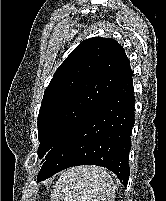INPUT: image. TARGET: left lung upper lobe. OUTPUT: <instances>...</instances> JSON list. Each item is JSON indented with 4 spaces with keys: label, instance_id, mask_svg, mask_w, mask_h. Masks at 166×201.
Returning <instances> with one entry per match:
<instances>
[{
    "label": "left lung upper lobe",
    "instance_id": "left-lung-upper-lobe-1",
    "mask_svg": "<svg viewBox=\"0 0 166 201\" xmlns=\"http://www.w3.org/2000/svg\"><path fill=\"white\" fill-rule=\"evenodd\" d=\"M130 71L112 38L82 41L56 70L38 116V157H49L104 102ZM44 161V160H43Z\"/></svg>",
    "mask_w": 166,
    "mask_h": 201
}]
</instances>
